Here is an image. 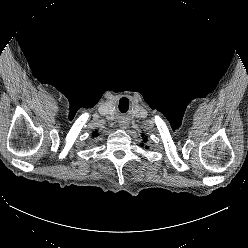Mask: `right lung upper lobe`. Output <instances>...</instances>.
I'll return each mask as SVG.
<instances>
[{"instance_id":"obj_1","label":"right lung upper lobe","mask_w":248,"mask_h":248,"mask_svg":"<svg viewBox=\"0 0 248 248\" xmlns=\"http://www.w3.org/2000/svg\"><path fill=\"white\" fill-rule=\"evenodd\" d=\"M98 135V133L97 132H94V136H97Z\"/></svg>"}]
</instances>
